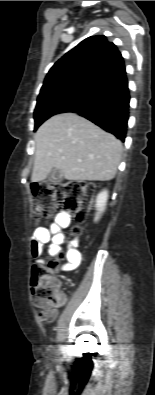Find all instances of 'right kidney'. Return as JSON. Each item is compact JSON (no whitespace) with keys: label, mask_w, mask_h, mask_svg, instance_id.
<instances>
[{"label":"right kidney","mask_w":155,"mask_h":395,"mask_svg":"<svg viewBox=\"0 0 155 395\" xmlns=\"http://www.w3.org/2000/svg\"><path fill=\"white\" fill-rule=\"evenodd\" d=\"M107 200H108V191L107 190H103L102 192H100L96 198V216L94 221L97 223L99 222L102 213L105 211L106 208V204H107Z\"/></svg>","instance_id":"1"}]
</instances>
